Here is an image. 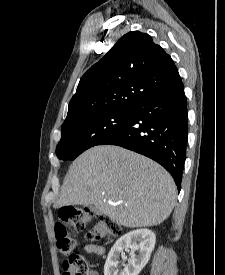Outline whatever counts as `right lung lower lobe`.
Masks as SVG:
<instances>
[{
  "label": "right lung lower lobe",
  "instance_id": "right-lung-lower-lobe-1",
  "mask_svg": "<svg viewBox=\"0 0 225 275\" xmlns=\"http://www.w3.org/2000/svg\"><path fill=\"white\" fill-rule=\"evenodd\" d=\"M187 131V100L181 83L137 103L128 121L98 145H118L155 160L180 191Z\"/></svg>",
  "mask_w": 225,
  "mask_h": 275
}]
</instances>
